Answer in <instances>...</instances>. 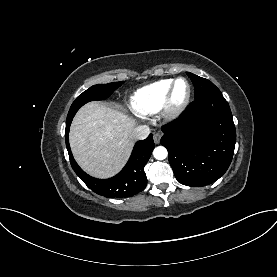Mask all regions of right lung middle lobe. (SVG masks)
I'll list each match as a JSON object with an SVG mask.
<instances>
[{
	"mask_svg": "<svg viewBox=\"0 0 277 277\" xmlns=\"http://www.w3.org/2000/svg\"><path fill=\"white\" fill-rule=\"evenodd\" d=\"M123 82H113L108 84H98L90 87L81 95H79L75 101L72 103L70 110L68 112L66 124L71 123L74 115L78 109L85 103L94 100H103L111 95V93L120 87Z\"/></svg>",
	"mask_w": 277,
	"mask_h": 277,
	"instance_id": "right-lung-middle-lobe-1",
	"label": "right lung middle lobe"
}]
</instances>
